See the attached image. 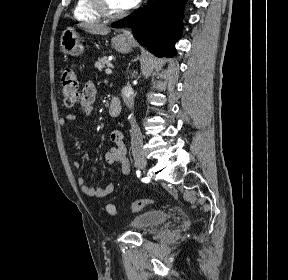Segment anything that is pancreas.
I'll list each match as a JSON object with an SVG mask.
<instances>
[{
  "instance_id": "cf45deb5",
  "label": "pancreas",
  "mask_w": 288,
  "mask_h": 280,
  "mask_svg": "<svg viewBox=\"0 0 288 280\" xmlns=\"http://www.w3.org/2000/svg\"><path fill=\"white\" fill-rule=\"evenodd\" d=\"M94 65L99 71H101L105 66H110L111 63L106 56H103L99 58Z\"/></svg>"
}]
</instances>
